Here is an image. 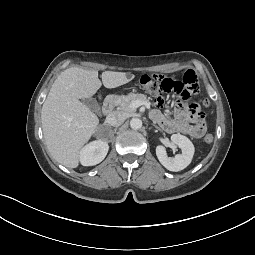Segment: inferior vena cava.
Segmentation results:
<instances>
[{
  "instance_id": "inferior-vena-cava-1",
  "label": "inferior vena cava",
  "mask_w": 255,
  "mask_h": 255,
  "mask_svg": "<svg viewBox=\"0 0 255 255\" xmlns=\"http://www.w3.org/2000/svg\"><path fill=\"white\" fill-rule=\"evenodd\" d=\"M126 117L121 112H112L106 117V122L111 126H120Z\"/></svg>"
}]
</instances>
